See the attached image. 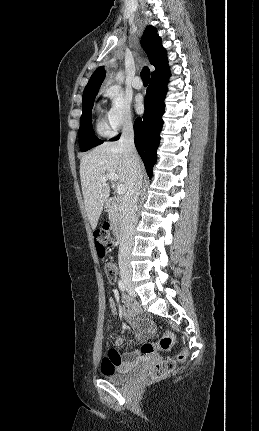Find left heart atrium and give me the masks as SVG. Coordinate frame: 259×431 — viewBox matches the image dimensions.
<instances>
[{"label":"left heart atrium","mask_w":259,"mask_h":431,"mask_svg":"<svg viewBox=\"0 0 259 431\" xmlns=\"http://www.w3.org/2000/svg\"><path fill=\"white\" fill-rule=\"evenodd\" d=\"M136 110L137 112H142L144 109V104H143V100L141 97H138L136 99V104H135Z\"/></svg>","instance_id":"left-heart-atrium-1"}]
</instances>
